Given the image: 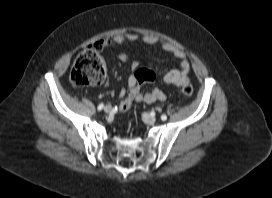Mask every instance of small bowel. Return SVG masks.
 Returning <instances> with one entry per match:
<instances>
[{
    "mask_svg": "<svg viewBox=\"0 0 272 198\" xmlns=\"http://www.w3.org/2000/svg\"><path fill=\"white\" fill-rule=\"evenodd\" d=\"M139 38L136 34L125 33L116 35L114 37H108L97 41L93 48L99 51H103L113 45H121L125 42H134ZM140 41L145 44H156L160 43L162 49L168 54L174 56L179 60V68L171 70L163 75L161 82L169 86H187L189 85V63L186 59L185 53L175 47L173 44L165 41H160L153 36H144L140 38ZM118 58L123 62H130V58L126 54H119ZM131 65V74L127 79V90L123 89L120 92V109L122 111H128L131 107L132 101L144 102V103H154L156 101H163L166 99V94L162 91L157 85H155L151 91L147 93L141 92V86L144 82L150 81L155 82L156 74L151 77L148 76H139L138 71L139 63L137 61H132Z\"/></svg>",
    "mask_w": 272,
    "mask_h": 198,
    "instance_id": "small-bowel-1",
    "label": "small bowel"
}]
</instances>
